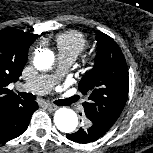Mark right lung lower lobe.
Returning <instances> with one entry per match:
<instances>
[{
  "mask_svg": "<svg viewBox=\"0 0 153 153\" xmlns=\"http://www.w3.org/2000/svg\"><path fill=\"white\" fill-rule=\"evenodd\" d=\"M37 108L36 102L23 101L9 109L0 119V141H9L20 136L27 129L31 116Z\"/></svg>",
  "mask_w": 153,
  "mask_h": 153,
  "instance_id": "obj_1",
  "label": "right lung lower lobe"
}]
</instances>
